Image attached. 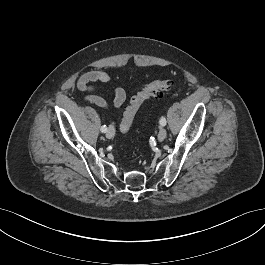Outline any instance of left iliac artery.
<instances>
[{"label": "left iliac artery", "instance_id": "left-iliac-artery-1", "mask_svg": "<svg viewBox=\"0 0 265 265\" xmlns=\"http://www.w3.org/2000/svg\"><path fill=\"white\" fill-rule=\"evenodd\" d=\"M160 125L161 126H165L166 125V118L165 117H161V119H160Z\"/></svg>", "mask_w": 265, "mask_h": 265}]
</instances>
